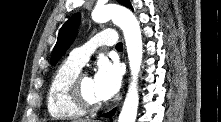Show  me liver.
<instances>
[{
    "mask_svg": "<svg viewBox=\"0 0 221 122\" xmlns=\"http://www.w3.org/2000/svg\"><path fill=\"white\" fill-rule=\"evenodd\" d=\"M76 122H91L89 119H79L78 121Z\"/></svg>",
    "mask_w": 221,
    "mask_h": 122,
    "instance_id": "obj_1",
    "label": "liver"
}]
</instances>
